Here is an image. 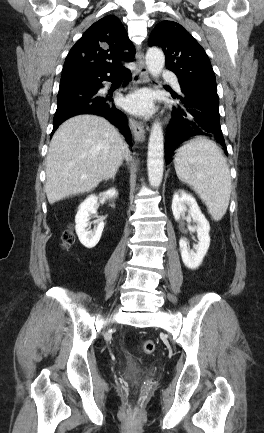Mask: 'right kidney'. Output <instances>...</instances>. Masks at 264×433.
<instances>
[{
    "label": "right kidney",
    "instance_id": "1",
    "mask_svg": "<svg viewBox=\"0 0 264 433\" xmlns=\"http://www.w3.org/2000/svg\"><path fill=\"white\" fill-rule=\"evenodd\" d=\"M100 196L104 198H114L117 196V191L113 188L100 194ZM97 202L98 197L90 195L79 205L78 212L75 216L76 233L81 244L86 248H93L97 245L104 229V222L101 219L94 221V223H97V227L94 230H89L88 228L91 224L89 222L90 216L97 212Z\"/></svg>",
    "mask_w": 264,
    "mask_h": 433
}]
</instances>
